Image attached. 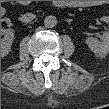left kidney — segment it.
Here are the masks:
<instances>
[{"mask_svg": "<svg viewBox=\"0 0 109 109\" xmlns=\"http://www.w3.org/2000/svg\"><path fill=\"white\" fill-rule=\"evenodd\" d=\"M101 21L108 23L109 18L106 16L102 17ZM85 42L90 48V50L96 54H107L109 52V33L108 32L104 33L102 41H99L93 37H88Z\"/></svg>", "mask_w": 109, "mask_h": 109, "instance_id": "left-kidney-1", "label": "left kidney"}]
</instances>
